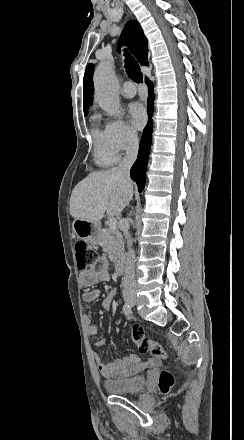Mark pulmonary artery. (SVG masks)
<instances>
[{
	"label": "pulmonary artery",
	"instance_id": "pulmonary-artery-1",
	"mask_svg": "<svg viewBox=\"0 0 244 440\" xmlns=\"http://www.w3.org/2000/svg\"><path fill=\"white\" fill-rule=\"evenodd\" d=\"M121 93L126 98H132L136 94V89H135V87H133L132 83H127L126 84V89L125 90L122 89Z\"/></svg>",
	"mask_w": 244,
	"mask_h": 440
}]
</instances>
